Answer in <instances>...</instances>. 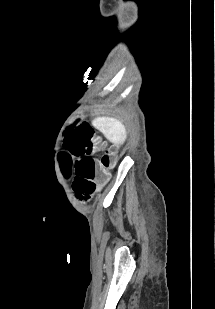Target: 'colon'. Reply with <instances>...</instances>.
<instances>
[{"mask_svg": "<svg viewBox=\"0 0 215 309\" xmlns=\"http://www.w3.org/2000/svg\"><path fill=\"white\" fill-rule=\"evenodd\" d=\"M101 164L105 169L110 168L113 165V158L111 153H104L101 157Z\"/></svg>", "mask_w": 215, "mask_h": 309, "instance_id": "1", "label": "colon"}]
</instances>
